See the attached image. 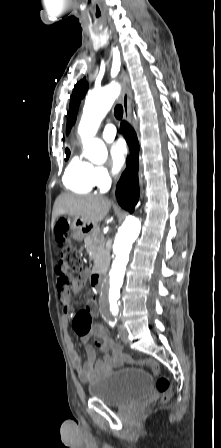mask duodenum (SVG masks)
Masks as SVG:
<instances>
[{"mask_svg": "<svg viewBox=\"0 0 221 448\" xmlns=\"http://www.w3.org/2000/svg\"><path fill=\"white\" fill-rule=\"evenodd\" d=\"M91 281L94 285H100L102 283V272L93 271L91 274Z\"/></svg>", "mask_w": 221, "mask_h": 448, "instance_id": "duodenum-1", "label": "duodenum"}]
</instances>
